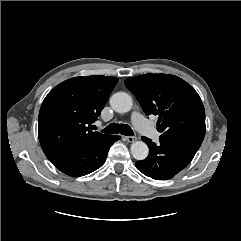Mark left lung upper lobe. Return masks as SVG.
Returning <instances> with one entry per match:
<instances>
[{
	"instance_id": "left-lung-upper-lobe-1",
	"label": "left lung upper lobe",
	"mask_w": 241,
	"mask_h": 241,
	"mask_svg": "<svg viewBox=\"0 0 241 241\" xmlns=\"http://www.w3.org/2000/svg\"><path fill=\"white\" fill-rule=\"evenodd\" d=\"M126 87L147 116H158L161 137L196 140L205 136V110L198 93L181 78L167 74L129 77Z\"/></svg>"
}]
</instances>
